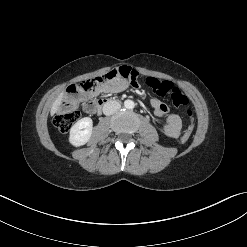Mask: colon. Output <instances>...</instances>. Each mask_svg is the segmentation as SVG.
Wrapping results in <instances>:
<instances>
[{
  "mask_svg": "<svg viewBox=\"0 0 247 247\" xmlns=\"http://www.w3.org/2000/svg\"><path fill=\"white\" fill-rule=\"evenodd\" d=\"M119 76L130 78L131 81L137 85L136 72L131 71L125 67L112 70L101 78L97 79L96 77H89L86 83L72 85L69 90V97L62 101L61 109L54 117V125L57 127V129L62 133H66L79 119L80 113L76 108L75 102V97L77 95L92 91L93 88L98 86V82H107ZM147 84L157 95H169L175 106H186L188 104V98L186 95L180 89L174 87L170 82L160 81L155 78H148ZM186 115L190 123L181 137L182 142H185L190 138L194 129L193 112L190 108H186Z\"/></svg>",
  "mask_w": 247,
  "mask_h": 247,
  "instance_id": "1",
  "label": "colon"
}]
</instances>
